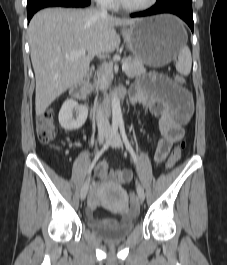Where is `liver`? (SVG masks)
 <instances>
[{
    "label": "liver",
    "mask_w": 227,
    "mask_h": 265,
    "mask_svg": "<svg viewBox=\"0 0 227 265\" xmlns=\"http://www.w3.org/2000/svg\"><path fill=\"white\" fill-rule=\"evenodd\" d=\"M139 20L103 16L95 9L49 8L36 13L28 27L36 116L86 75L94 56L115 51L120 44L115 26ZM77 50L87 54L76 60L65 58Z\"/></svg>",
    "instance_id": "6515ba94"
}]
</instances>
